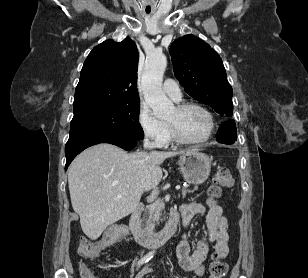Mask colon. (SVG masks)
Instances as JSON below:
<instances>
[{"mask_svg": "<svg viewBox=\"0 0 308 278\" xmlns=\"http://www.w3.org/2000/svg\"><path fill=\"white\" fill-rule=\"evenodd\" d=\"M233 185V177L230 171L226 168L219 169L214 178L213 183L209 189L210 199L215 200L219 197L223 188H229ZM129 235L128 226H112L106 228V235L104 240L93 241L86 237H81L79 239L78 252L81 256L85 258H96L102 247H114L115 237L119 242L124 240V237ZM227 264L224 262V258L217 252L213 255L212 261L209 265V275L208 278H224L227 273ZM85 278H94L88 269L83 271Z\"/></svg>", "mask_w": 308, "mask_h": 278, "instance_id": "1", "label": "colon"}]
</instances>
